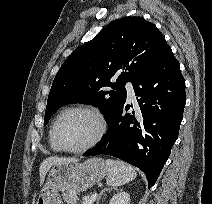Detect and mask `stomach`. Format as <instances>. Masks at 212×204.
I'll return each instance as SVG.
<instances>
[{"mask_svg": "<svg viewBox=\"0 0 212 204\" xmlns=\"http://www.w3.org/2000/svg\"><path fill=\"white\" fill-rule=\"evenodd\" d=\"M106 173L107 164L101 158H91L83 163L73 160L55 164L47 174L36 204H62L60 191H86L101 181Z\"/></svg>", "mask_w": 212, "mask_h": 204, "instance_id": "stomach-1", "label": "stomach"}]
</instances>
